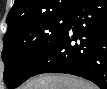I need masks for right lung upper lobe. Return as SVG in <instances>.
Segmentation results:
<instances>
[{"instance_id": "obj_1", "label": "right lung upper lobe", "mask_w": 107, "mask_h": 89, "mask_svg": "<svg viewBox=\"0 0 107 89\" xmlns=\"http://www.w3.org/2000/svg\"><path fill=\"white\" fill-rule=\"evenodd\" d=\"M79 0H15L7 16V25L41 16L70 12Z\"/></svg>"}]
</instances>
